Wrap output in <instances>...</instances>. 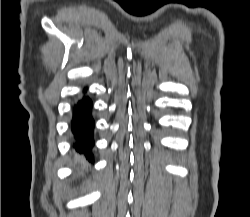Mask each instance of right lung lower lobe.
Returning <instances> with one entry per match:
<instances>
[{
	"mask_svg": "<svg viewBox=\"0 0 250 217\" xmlns=\"http://www.w3.org/2000/svg\"><path fill=\"white\" fill-rule=\"evenodd\" d=\"M92 106L93 103L89 97L84 96L74 105L72 120L70 122L71 131L74 136L73 146L77 151L85 154L89 160H93L91 149L94 145V120L91 116Z\"/></svg>",
	"mask_w": 250,
	"mask_h": 217,
	"instance_id": "right-lung-lower-lobe-1",
	"label": "right lung lower lobe"
}]
</instances>
